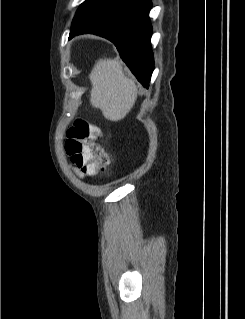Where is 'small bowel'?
<instances>
[{
    "mask_svg": "<svg viewBox=\"0 0 245 319\" xmlns=\"http://www.w3.org/2000/svg\"><path fill=\"white\" fill-rule=\"evenodd\" d=\"M76 172H77V174L80 175V176L83 175V173H82L80 170H76Z\"/></svg>",
    "mask_w": 245,
    "mask_h": 319,
    "instance_id": "small-bowel-1",
    "label": "small bowel"
}]
</instances>
